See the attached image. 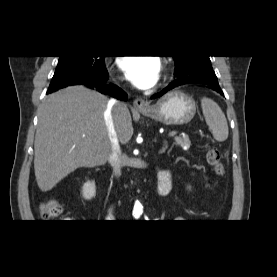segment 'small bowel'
<instances>
[{
	"label": "small bowel",
	"mask_w": 277,
	"mask_h": 277,
	"mask_svg": "<svg viewBox=\"0 0 277 277\" xmlns=\"http://www.w3.org/2000/svg\"><path fill=\"white\" fill-rule=\"evenodd\" d=\"M163 171H165V170H160L159 172H158V190H159V193L160 194H163V193H165L167 190H168V188H169V186H170V184L169 185H167L166 183H164L162 180H159L160 179V177H161V175H162V172ZM166 172V174H168L169 176H170V174H169V172H167V171H165Z\"/></svg>",
	"instance_id": "1"
}]
</instances>
